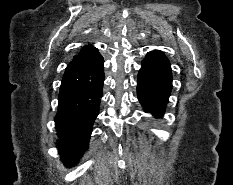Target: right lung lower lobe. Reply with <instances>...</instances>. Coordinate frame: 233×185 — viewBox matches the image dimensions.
<instances>
[{"label": "right lung lower lobe", "mask_w": 233, "mask_h": 185, "mask_svg": "<svg viewBox=\"0 0 233 185\" xmlns=\"http://www.w3.org/2000/svg\"><path fill=\"white\" fill-rule=\"evenodd\" d=\"M103 59L73 60L67 66L59 93L55 126L60 156L74 166L88 149L93 123L103 96Z\"/></svg>", "instance_id": "right-lung-lower-lobe-1"}]
</instances>
